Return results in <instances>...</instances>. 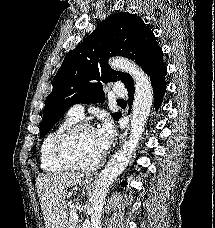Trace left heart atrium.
<instances>
[{"mask_svg": "<svg viewBox=\"0 0 215 228\" xmlns=\"http://www.w3.org/2000/svg\"><path fill=\"white\" fill-rule=\"evenodd\" d=\"M116 137V128L113 121L104 117L101 121V124L95 129V138L97 145L102 153H105Z\"/></svg>", "mask_w": 215, "mask_h": 228, "instance_id": "39dd6f15", "label": "left heart atrium"}]
</instances>
